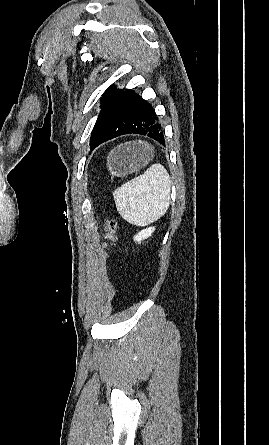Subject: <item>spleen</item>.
Wrapping results in <instances>:
<instances>
[{
    "label": "spleen",
    "mask_w": 269,
    "mask_h": 445,
    "mask_svg": "<svg viewBox=\"0 0 269 445\" xmlns=\"http://www.w3.org/2000/svg\"><path fill=\"white\" fill-rule=\"evenodd\" d=\"M171 180L161 164H153L143 174L113 192L119 214L136 226L148 225L167 211Z\"/></svg>",
    "instance_id": "spleen-1"
}]
</instances>
